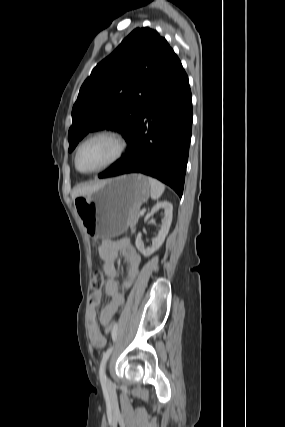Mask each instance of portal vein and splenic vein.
I'll list each match as a JSON object with an SVG mask.
<instances>
[{
	"label": "portal vein and splenic vein",
	"instance_id": "1",
	"mask_svg": "<svg viewBox=\"0 0 285 427\" xmlns=\"http://www.w3.org/2000/svg\"><path fill=\"white\" fill-rule=\"evenodd\" d=\"M144 213H145V211H144V210H141V211L139 212V214H140V215H144Z\"/></svg>",
	"mask_w": 285,
	"mask_h": 427
}]
</instances>
